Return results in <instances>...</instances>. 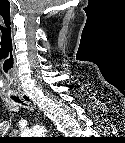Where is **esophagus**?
Returning <instances> with one entry per match:
<instances>
[{
  "instance_id": "34e87169",
  "label": "esophagus",
  "mask_w": 125,
  "mask_h": 143,
  "mask_svg": "<svg viewBox=\"0 0 125 143\" xmlns=\"http://www.w3.org/2000/svg\"><path fill=\"white\" fill-rule=\"evenodd\" d=\"M21 99L27 103L28 105H30L31 107L35 108V104L32 102V100L26 95V94H21Z\"/></svg>"
}]
</instances>
